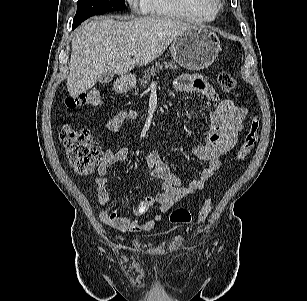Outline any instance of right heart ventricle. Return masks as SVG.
I'll return each instance as SVG.
<instances>
[{
    "label": "right heart ventricle",
    "mask_w": 307,
    "mask_h": 301,
    "mask_svg": "<svg viewBox=\"0 0 307 301\" xmlns=\"http://www.w3.org/2000/svg\"><path fill=\"white\" fill-rule=\"evenodd\" d=\"M146 11L154 16L191 23H206L216 18L217 10L200 0H147Z\"/></svg>",
    "instance_id": "e07e8e85"
}]
</instances>
